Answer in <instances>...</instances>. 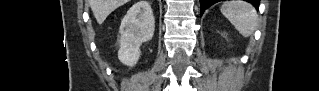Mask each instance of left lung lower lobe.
<instances>
[{
	"instance_id": "1",
	"label": "left lung lower lobe",
	"mask_w": 319,
	"mask_h": 91,
	"mask_svg": "<svg viewBox=\"0 0 319 91\" xmlns=\"http://www.w3.org/2000/svg\"><path fill=\"white\" fill-rule=\"evenodd\" d=\"M221 0H200V5H201V11L200 14L202 15L204 13V11L211 5H213L214 3H217ZM247 1L249 3H252L253 6L258 9L259 7V0H244Z\"/></svg>"
}]
</instances>
